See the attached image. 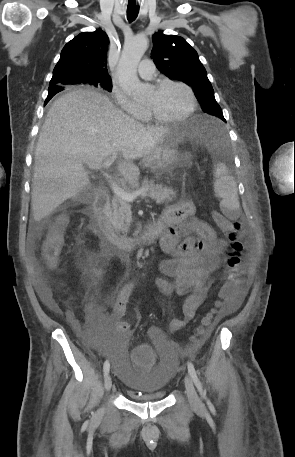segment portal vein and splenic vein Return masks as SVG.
Here are the masks:
<instances>
[{
    "mask_svg": "<svg viewBox=\"0 0 295 457\" xmlns=\"http://www.w3.org/2000/svg\"><path fill=\"white\" fill-rule=\"evenodd\" d=\"M117 158V153H113L112 157L110 159H107L104 161V167L109 168V166L116 160ZM109 177V184L110 187L113 191V193L118 196L119 198L131 202L133 201L136 197L138 196H146V193L148 191V188H142L140 190L134 191V192H127L123 188H121L118 183H116L110 175Z\"/></svg>",
    "mask_w": 295,
    "mask_h": 457,
    "instance_id": "18ae733b",
    "label": "portal vein and splenic vein"
}]
</instances>
